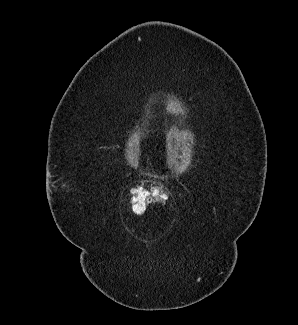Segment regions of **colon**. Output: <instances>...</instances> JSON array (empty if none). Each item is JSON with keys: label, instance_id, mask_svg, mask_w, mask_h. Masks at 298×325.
<instances>
[{"label": "colon", "instance_id": "obj_1", "mask_svg": "<svg viewBox=\"0 0 298 325\" xmlns=\"http://www.w3.org/2000/svg\"><path fill=\"white\" fill-rule=\"evenodd\" d=\"M166 198V191L160 186L148 188L139 185L135 186L131 193L132 207L138 214H143L151 202H164Z\"/></svg>", "mask_w": 298, "mask_h": 325}]
</instances>
